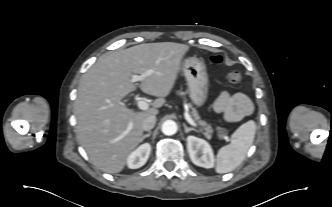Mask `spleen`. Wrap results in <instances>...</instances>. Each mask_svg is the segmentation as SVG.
<instances>
[{"label": "spleen", "instance_id": "1", "mask_svg": "<svg viewBox=\"0 0 332 207\" xmlns=\"http://www.w3.org/2000/svg\"><path fill=\"white\" fill-rule=\"evenodd\" d=\"M255 131V122L250 120L232 134L230 144L222 147L217 153L215 167L217 173L231 172L242 163L253 143Z\"/></svg>", "mask_w": 332, "mask_h": 207}]
</instances>
